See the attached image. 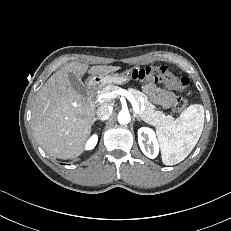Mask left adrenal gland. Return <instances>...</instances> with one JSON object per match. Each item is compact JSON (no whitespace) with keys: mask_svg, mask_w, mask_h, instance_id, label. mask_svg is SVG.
Segmentation results:
<instances>
[{"mask_svg":"<svg viewBox=\"0 0 231 231\" xmlns=\"http://www.w3.org/2000/svg\"><path fill=\"white\" fill-rule=\"evenodd\" d=\"M133 116H134V118H137V120H139V121L141 120L137 114L133 113Z\"/></svg>","mask_w":231,"mask_h":231,"instance_id":"left-adrenal-gland-1","label":"left adrenal gland"}]
</instances>
